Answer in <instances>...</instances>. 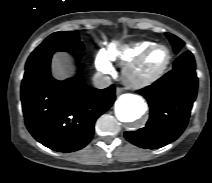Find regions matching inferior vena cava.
I'll use <instances>...</instances> for the list:
<instances>
[{
    "instance_id": "602c4592",
    "label": "inferior vena cava",
    "mask_w": 212,
    "mask_h": 183,
    "mask_svg": "<svg viewBox=\"0 0 212 183\" xmlns=\"http://www.w3.org/2000/svg\"><path fill=\"white\" fill-rule=\"evenodd\" d=\"M93 83L98 89L107 88L111 85V78L101 72H97L93 77Z\"/></svg>"
}]
</instances>
